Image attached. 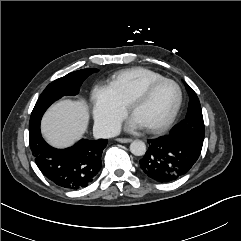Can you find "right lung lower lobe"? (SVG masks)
<instances>
[{"mask_svg":"<svg viewBox=\"0 0 241 241\" xmlns=\"http://www.w3.org/2000/svg\"><path fill=\"white\" fill-rule=\"evenodd\" d=\"M30 149L40 171L56 185L66 189L84 188L101 168V156L107 140L81 139L67 149L49 146L41 136L40 122L29 128Z\"/></svg>","mask_w":241,"mask_h":241,"instance_id":"98d812e1","label":"right lung lower lobe"}]
</instances>
